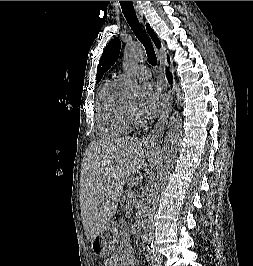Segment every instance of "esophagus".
<instances>
[{
    "label": "esophagus",
    "instance_id": "obj_1",
    "mask_svg": "<svg viewBox=\"0 0 253 266\" xmlns=\"http://www.w3.org/2000/svg\"><path fill=\"white\" fill-rule=\"evenodd\" d=\"M133 5L135 7L136 13L139 17V19L141 20L142 23H144V18H143V12L142 9L138 3V1H132ZM159 70L161 72V77L162 80L164 82V87L166 89V95H167V101H166V105L164 108V111L162 112L160 118L158 119L157 123L155 124L153 130L148 134L147 138H146V143H155L156 141H158V139L160 138L165 125L168 121L169 115L172 111V105H173V90L171 89L165 74L163 73V69H162V63H159Z\"/></svg>",
    "mask_w": 253,
    "mask_h": 266
}]
</instances>
